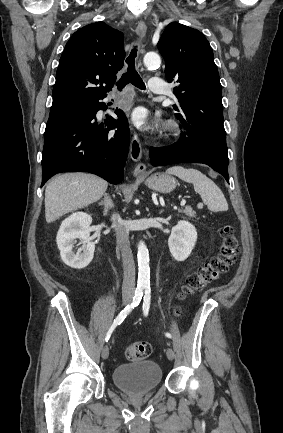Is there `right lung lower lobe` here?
<instances>
[{"mask_svg":"<svg viewBox=\"0 0 283 433\" xmlns=\"http://www.w3.org/2000/svg\"><path fill=\"white\" fill-rule=\"evenodd\" d=\"M106 96L50 111L44 133L41 187L60 172H90L112 184L123 180L129 127L124 112L118 109L115 113L122 124L116 131H112L117 124L114 118L105 123L96 120L97 111L106 107L99 100Z\"/></svg>","mask_w":283,"mask_h":433,"instance_id":"right-lung-lower-lobe-1","label":"right lung lower lobe"}]
</instances>
